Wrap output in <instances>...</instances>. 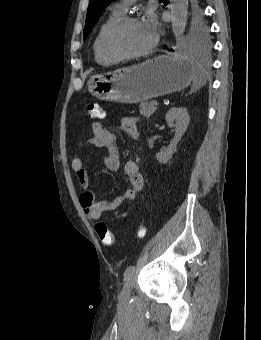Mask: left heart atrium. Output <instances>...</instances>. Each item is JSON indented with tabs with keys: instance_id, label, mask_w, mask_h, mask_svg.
<instances>
[{
	"instance_id": "left-heart-atrium-1",
	"label": "left heart atrium",
	"mask_w": 261,
	"mask_h": 340,
	"mask_svg": "<svg viewBox=\"0 0 261 340\" xmlns=\"http://www.w3.org/2000/svg\"><path fill=\"white\" fill-rule=\"evenodd\" d=\"M144 27L152 34H154L157 26V22L152 15H148L143 22Z\"/></svg>"
}]
</instances>
